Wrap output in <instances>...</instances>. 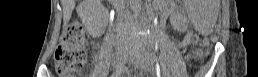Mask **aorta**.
I'll return each instance as SVG.
<instances>
[{"label": "aorta", "instance_id": "762f6f07", "mask_svg": "<svg viewBox=\"0 0 258 77\" xmlns=\"http://www.w3.org/2000/svg\"><path fill=\"white\" fill-rule=\"evenodd\" d=\"M131 7L135 13H138L141 9V0H131Z\"/></svg>", "mask_w": 258, "mask_h": 77}]
</instances>
